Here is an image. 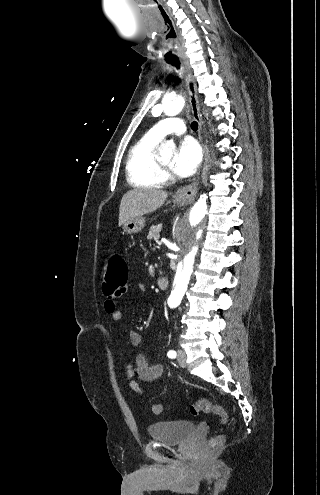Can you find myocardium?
<instances>
[{
    "label": "myocardium",
    "mask_w": 320,
    "mask_h": 495,
    "mask_svg": "<svg viewBox=\"0 0 320 495\" xmlns=\"http://www.w3.org/2000/svg\"><path fill=\"white\" fill-rule=\"evenodd\" d=\"M156 160H157L158 167L161 171H167L168 170V166L165 165L164 163H162V161L160 160L159 157H156Z\"/></svg>",
    "instance_id": "obj_1"
}]
</instances>
